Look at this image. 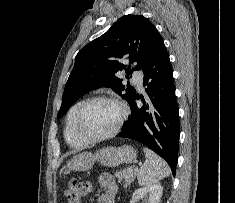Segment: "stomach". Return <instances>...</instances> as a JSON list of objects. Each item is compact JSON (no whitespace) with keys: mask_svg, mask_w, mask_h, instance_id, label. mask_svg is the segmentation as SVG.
<instances>
[{"mask_svg":"<svg viewBox=\"0 0 235 203\" xmlns=\"http://www.w3.org/2000/svg\"><path fill=\"white\" fill-rule=\"evenodd\" d=\"M136 156V150L128 145L104 147L94 154L83 152L73 157L67 162L65 171H87L93 167L95 162H99L103 166L115 167L122 163H132L136 159Z\"/></svg>","mask_w":235,"mask_h":203,"instance_id":"stomach-1","label":"stomach"}]
</instances>
